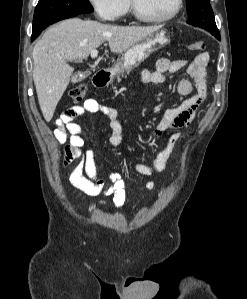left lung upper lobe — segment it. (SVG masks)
Here are the masks:
<instances>
[{
	"instance_id": "1",
	"label": "left lung upper lobe",
	"mask_w": 247,
	"mask_h": 299,
	"mask_svg": "<svg viewBox=\"0 0 247 299\" xmlns=\"http://www.w3.org/2000/svg\"><path fill=\"white\" fill-rule=\"evenodd\" d=\"M188 24L219 33L209 0H186Z\"/></svg>"
}]
</instances>
